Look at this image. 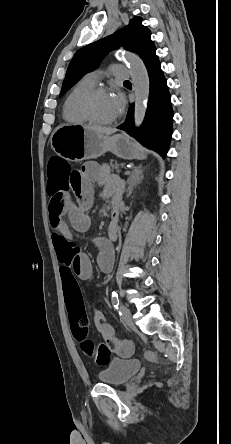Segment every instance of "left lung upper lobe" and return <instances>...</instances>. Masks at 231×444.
<instances>
[{"label":"left lung upper lobe","mask_w":231,"mask_h":444,"mask_svg":"<svg viewBox=\"0 0 231 444\" xmlns=\"http://www.w3.org/2000/svg\"><path fill=\"white\" fill-rule=\"evenodd\" d=\"M150 30L135 17L129 25L114 34L79 49L71 60L62 85L60 96L69 90L86 73L98 67L104 56L112 49L123 46L138 54L143 62L156 51Z\"/></svg>","instance_id":"obj_1"}]
</instances>
